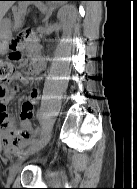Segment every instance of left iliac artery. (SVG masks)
Wrapping results in <instances>:
<instances>
[{
	"instance_id": "44dca946",
	"label": "left iliac artery",
	"mask_w": 137,
	"mask_h": 189,
	"mask_svg": "<svg viewBox=\"0 0 137 189\" xmlns=\"http://www.w3.org/2000/svg\"><path fill=\"white\" fill-rule=\"evenodd\" d=\"M36 136H39V133H36ZM38 142H39V138H35V139H33V140L30 142V144L34 146V145L37 144ZM33 146H32V147H33Z\"/></svg>"
}]
</instances>
